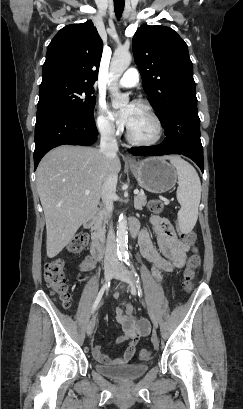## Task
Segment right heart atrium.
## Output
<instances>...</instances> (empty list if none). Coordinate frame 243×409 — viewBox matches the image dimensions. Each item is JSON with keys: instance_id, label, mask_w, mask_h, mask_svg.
Masks as SVG:
<instances>
[{"instance_id": "d8ad5b80", "label": "right heart atrium", "mask_w": 243, "mask_h": 409, "mask_svg": "<svg viewBox=\"0 0 243 409\" xmlns=\"http://www.w3.org/2000/svg\"><path fill=\"white\" fill-rule=\"evenodd\" d=\"M96 126L98 130L105 136H115L118 129L114 125L111 115L103 102H99L97 106Z\"/></svg>"}]
</instances>
